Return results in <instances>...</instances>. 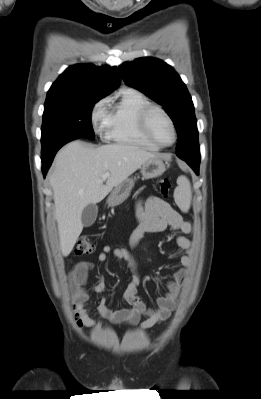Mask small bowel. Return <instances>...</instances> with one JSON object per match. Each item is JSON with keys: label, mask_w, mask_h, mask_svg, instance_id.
Wrapping results in <instances>:
<instances>
[{"label": "small bowel", "mask_w": 261, "mask_h": 399, "mask_svg": "<svg viewBox=\"0 0 261 399\" xmlns=\"http://www.w3.org/2000/svg\"><path fill=\"white\" fill-rule=\"evenodd\" d=\"M136 218L138 225L130 236V246L136 247L146 233L159 232L170 227L178 233L175 237L177 247L184 251V254L180 255L181 266L174 270L171 279L167 282V293L157 299V307L147 308L137 293L140 278L136 272L134 256L126 249L104 246L96 257L97 262H105L111 255L118 262H126L133 273L132 281L123 294V300L131 307L113 310L108 306L106 298L102 297L97 305V313L101 318L115 324L138 325L142 329H148L165 321L171 315L187 286L193 245L186 235L191 232V225L170 203L157 196L138 200ZM92 268V262L78 261L68 274L69 290L80 312L81 321L87 327L96 325V320L85 310V306L92 300L91 293L103 294L105 292L103 276L98 277V282L90 290L85 287ZM142 317L145 319L142 320Z\"/></svg>", "instance_id": "small-bowel-1"}]
</instances>
